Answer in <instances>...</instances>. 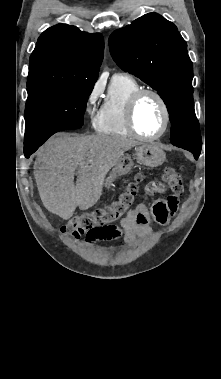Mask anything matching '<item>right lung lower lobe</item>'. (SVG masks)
Wrapping results in <instances>:
<instances>
[{
  "label": "right lung lower lobe",
  "instance_id": "98d812e1",
  "mask_svg": "<svg viewBox=\"0 0 221 379\" xmlns=\"http://www.w3.org/2000/svg\"><path fill=\"white\" fill-rule=\"evenodd\" d=\"M43 144V143H42ZM41 145V143L39 144H35V143H32V144H27V143H24V155L26 158H29L30 155L36 151L38 149V147Z\"/></svg>",
  "mask_w": 221,
  "mask_h": 379
}]
</instances>
